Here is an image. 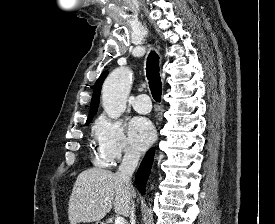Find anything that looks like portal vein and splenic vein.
Returning <instances> with one entry per match:
<instances>
[{"label":"portal vein and splenic vein","mask_w":275,"mask_h":224,"mask_svg":"<svg viewBox=\"0 0 275 224\" xmlns=\"http://www.w3.org/2000/svg\"><path fill=\"white\" fill-rule=\"evenodd\" d=\"M115 224H125V219L123 217H117L115 219Z\"/></svg>","instance_id":"1"}]
</instances>
